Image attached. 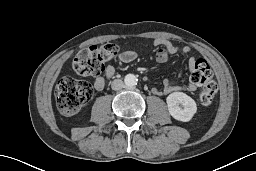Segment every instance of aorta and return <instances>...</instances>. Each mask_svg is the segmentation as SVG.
<instances>
[{
    "mask_svg": "<svg viewBox=\"0 0 256 171\" xmlns=\"http://www.w3.org/2000/svg\"><path fill=\"white\" fill-rule=\"evenodd\" d=\"M137 77L134 74H127L124 78V83L127 87H134L137 85Z\"/></svg>",
    "mask_w": 256,
    "mask_h": 171,
    "instance_id": "762f6f07",
    "label": "aorta"
}]
</instances>
